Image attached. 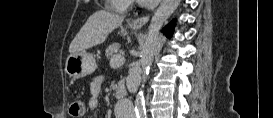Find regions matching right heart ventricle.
<instances>
[{
    "instance_id": "obj_1",
    "label": "right heart ventricle",
    "mask_w": 273,
    "mask_h": 118,
    "mask_svg": "<svg viewBox=\"0 0 273 118\" xmlns=\"http://www.w3.org/2000/svg\"><path fill=\"white\" fill-rule=\"evenodd\" d=\"M111 3L113 8L118 12L124 11L127 7V1L112 0Z\"/></svg>"
}]
</instances>
